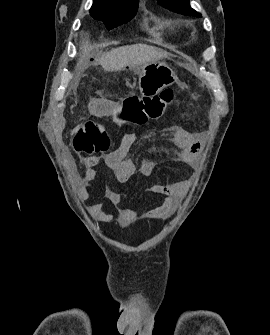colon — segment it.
I'll use <instances>...</instances> for the list:
<instances>
[{"label": "colon", "mask_w": 270, "mask_h": 335, "mask_svg": "<svg viewBox=\"0 0 270 335\" xmlns=\"http://www.w3.org/2000/svg\"><path fill=\"white\" fill-rule=\"evenodd\" d=\"M186 91H189V87L183 86L166 89L154 97L131 95L122 102L119 117L124 125L134 127L157 121L162 117L167 105L172 104ZM114 117L112 115V118ZM110 144V137L102 131L99 124L93 121H86L73 137L74 151L85 156L107 153Z\"/></svg>", "instance_id": "obj_1"}]
</instances>
